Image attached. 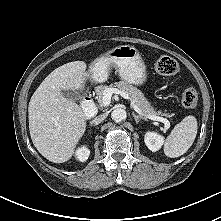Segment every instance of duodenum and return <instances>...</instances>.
I'll return each instance as SVG.
<instances>
[{
    "mask_svg": "<svg viewBox=\"0 0 221 221\" xmlns=\"http://www.w3.org/2000/svg\"><path fill=\"white\" fill-rule=\"evenodd\" d=\"M82 106L86 116L92 117L96 114L95 102L91 96L85 97Z\"/></svg>",
    "mask_w": 221,
    "mask_h": 221,
    "instance_id": "410a0bca",
    "label": "duodenum"
}]
</instances>
